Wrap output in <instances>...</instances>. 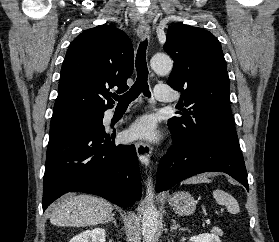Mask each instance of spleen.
I'll return each mask as SVG.
<instances>
[{"mask_svg": "<svg viewBox=\"0 0 279 242\" xmlns=\"http://www.w3.org/2000/svg\"><path fill=\"white\" fill-rule=\"evenodd\" d=\"M212 194L216 202L220 205H224L230 213L237 214L239 212L240 208L237 200L229 193L216 189Z\"/></svg>", "mask_w": 279, "mask_h": 242, "instance_id": "3e777b00", "label": "spleen"}]
</instances>
